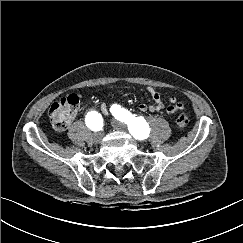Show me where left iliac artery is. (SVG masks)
Masks as SVG:
<instances>
[{
    "mask_svg": "<svg viewBox=\"0 0 243 243\" xmlns=\"http://www.w3.org/2000/svg\"><path fill=\"white\" fill-rule=\"evenodd\" d=\"M113 116L128 125L130 133L139 140L145 139L148 136L149 128L143 117H136L128 110L121 108L117 104L111 106L110 109Z\"/></svg>",
    "mask_w": 243,
    "mask_h": 243,
    "instance_id": "1",
    "label": "left iliac artery"
}]
</instances>
